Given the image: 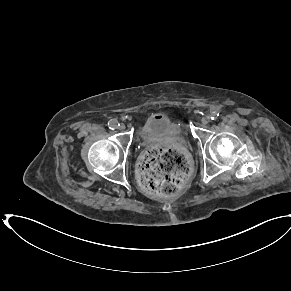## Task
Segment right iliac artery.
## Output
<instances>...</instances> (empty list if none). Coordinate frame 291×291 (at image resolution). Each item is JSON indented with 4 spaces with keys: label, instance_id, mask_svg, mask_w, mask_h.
I'll use <instances>...</instances> for the list:
<instances>
[{
    "label": "right iliac artery",
    "instance_id": "obj_1",
    "mask_svg": "<svg viewBox=\"0 0 291 291\" xmlns=\"http://www.w3.org/2000/svg\"><path fill=\"white\" fill-rule=\"evenodd\" d=\"M119 125H120V124H119L118 121L115 120V119H111V120L108 122V127H109V129H111V130L116 129Z\"/></svg>",
    "mask_w": 291,
    "mask_h": 291
}]
</instances>
